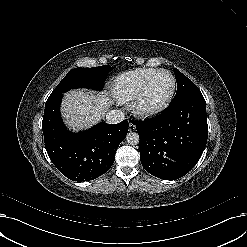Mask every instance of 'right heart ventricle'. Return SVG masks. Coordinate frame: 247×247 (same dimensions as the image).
I'll return each instance as SVG.
<instances>
[{
  "mask_svg": "<svg viewBox=\"0 0 247 247\" xmlns=\"http://www.w3.org/2000/svg\"><path fill=\"white\" fill-rule=\"evenodd\" d=\"M156 68H136L120 74L113 86L115 97L121 103L130 102L141 90L148 78L154 74Z\"/></svg>",
  "mask_w": 247,
  "mask_h": 247,
  "instance_id": "1",
  "label": "right heart ventricle"
}]
</instances>
